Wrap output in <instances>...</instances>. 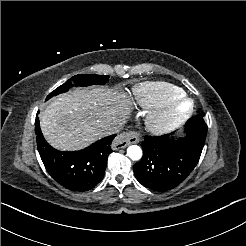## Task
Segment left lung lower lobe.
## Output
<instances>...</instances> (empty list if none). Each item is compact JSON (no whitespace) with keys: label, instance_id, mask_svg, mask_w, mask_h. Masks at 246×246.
Here are the masks:
<instances>
[{"label":"left lung lower lobe","instance_id":"0a47b994","mask_svg":"<svg viewBox=\"0 0 246 246\" xmlns=\"http://www.w3.org/2000/svg\"><path fill=\"white\" fill-rule=\"evenodd\" d=\"M186 137L145 136L143 157L133 166L137 180L154 191H167L185 180L197 165L205 144L207 125L201 116L186 124Z\"/></svg>","mask_w":246,"mask_h":246}]
</instances>
